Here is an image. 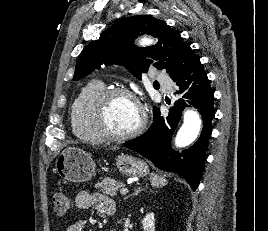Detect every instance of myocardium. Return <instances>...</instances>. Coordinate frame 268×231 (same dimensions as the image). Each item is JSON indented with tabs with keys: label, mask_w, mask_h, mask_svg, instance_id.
Instances as JSON below:
<instances>
[{
	"label": "myocardium",
	"mask_w": 268,
	"mask_h": 231,
	"mask_svg": "<svg viewBox=\"0 0 268 231\" xmlns=\"http://www.w3.org/2000/svg\"><path fill=\"white\" fill-rule=\"evenodd\" d=\"M119 96L128 97L134 100L138 105L141 114L139 124L133 130L126 133L112 132L107 126L106 121V109L109 101L112 98ZM90 118L97 135L113 142L128 140L139 135L144 130L147 123L146 111L140 98L131 90L119 86L104 88L94 97L90 108Z\"/></svg>",
	"instance_id": "myocardium-1"
}]
</instances>
